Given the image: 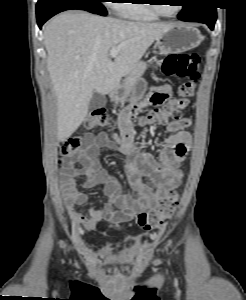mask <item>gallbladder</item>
<instances>
[{
    "label": "gallbladder",
    "instance_id": "bac80fb5",
    "mask_svg": "<svg viewBox=\"0 0 246 300\" xmlns=\"http://www.w3.org/2000/svg\"><path fill=\"white\" fill-rule=\"evenodd\" d=\"M106 105V98L97 92H93L92 97L89 102V110L93 111L100 109Z\"/></svg>",
    "mask_w": 246,
    "mask_h": 300
}]
</instances>
